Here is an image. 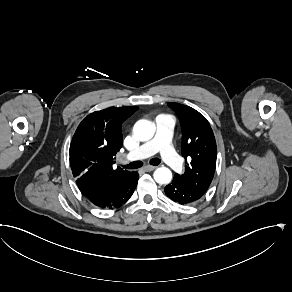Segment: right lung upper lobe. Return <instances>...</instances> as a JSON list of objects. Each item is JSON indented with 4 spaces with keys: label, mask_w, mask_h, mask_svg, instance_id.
Wrapping results in <instances>:
<instances>
[{
    "label": "right lung upper lobe",
    "mask_w": 292,
    "mask_h": 292,
    "mask_svg": "<svg viewBox=\"0 0 292 292\" xmlns=\"http://www.w3.org/2000/svg\"><path fill=\"white\" fill-rule=\"evenodd\" d=\"M138 107H110L85 117L70 145V166L76 184L87 198H105L133 172L113 168L122 147L121 124Z\"/></svg>",
    "instance_id": "1"
}]
</instances>
